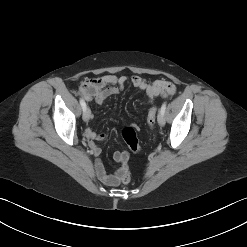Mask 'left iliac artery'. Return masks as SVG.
<instances>
[{
	"label": "left iliac artery",
	"mask_w": 247,
	"mask_h": 247,
	"mask_svg": "<svg viewBox=\"0 0 247 247\" xmlns=\"http://www.w3.org/2000/svg\"><path fill=\"white\" fill-rule=\"evenodd\" d=\"M165 110H166V102H164V103L162 104L161 109H160V112H161L162 114H164V113H165Z\"/></svg>",
	"instance_id": "1"
}]
</instances>
